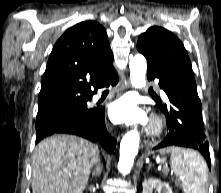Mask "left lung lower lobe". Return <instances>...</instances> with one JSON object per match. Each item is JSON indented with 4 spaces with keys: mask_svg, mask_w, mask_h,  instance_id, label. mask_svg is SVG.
Returning <instances> with one entry per match:
<instances>
[{
    "mask_svg": "<svg viewBox=\"0 0 221 193\" xmlns=\"http://www.w3.org/2000/svg\"><path fill=\"white\" fill-rule=\"evenodd\" d=\"M147 78L160 80L159 86L171 104L167 107L156 98L166 116L169 134L154 149L170 146L193 148L204 156L210 169L209 144L204 133L202 105L193 72L160 66L148 60Z\"/></svg>",
    "mask_w": 221,
    "mask_h": 193,
    "instance_id": "0a47b994",
    "label": "left lung lower lobe"
}]
</instances>
